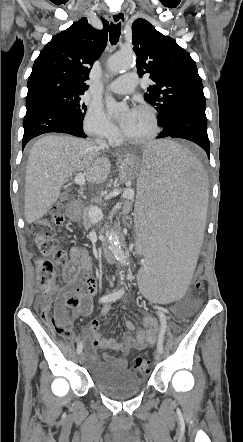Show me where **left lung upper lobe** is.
<instances>
[{
    "mask_svg": "<svg viewBox=\"0 0 243 442\" xmlns=\"http://www.w3.org/2000/svg\"><path fill=\"white\" fill-rule=\"evenodd\" d=\"M132 44L139 76L150 74L154 82L145 99L158 111V123L172 108L190 97H204L202 79L195 61L174 39L158 32L145 19L132 24Z\"/></svg>",
    "mask_w": 243,
    "mask_h": 442,
    "instance_id": "1",
    "label": "left lung upper lobe"
}]
</instances>
